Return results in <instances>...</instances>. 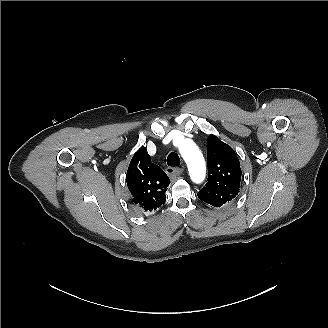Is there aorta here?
Segmentation results:
<instances>
[{
  "instance_id": "aorta-1",
  "label": "aorta",
  "mask_w": 328,
  "mask_h": 328,
  "mask_svg": "<svg viewBox=\"0 0 328 328\" xmlns=\"http://www.w3.org/2000/svg\"><path fill=\"white\" fill-rule=\"evenodd\" d=\"M179 152L187 164L192 181L201 183L205 179L206 166L199 148L192 140L186 139L179 145Z\"/></svg>"
}]
</instances>
